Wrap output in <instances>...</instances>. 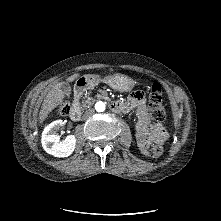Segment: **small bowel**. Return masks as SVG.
<instances>
[{
  "label": "small bowel",
  "instance_id": "1",
  "mask_svg": "<svg viewBox=\"0 0 221 221\" xmlns=\"http://www.w3.org/2000/svg\"><path fill=\"white\" fill-rule=\"evenodd\" d=\"M127 105L129 110H134L136 112L137 143L141 151L147 154L149 146L152 143L164 142L168 137V133L162 123L151 122L146 109L145 96L141 90L137 89L132 93Z\"/></svg>",
  "mask_w": 221,
  "mask_h": 221
}]
</instances>
